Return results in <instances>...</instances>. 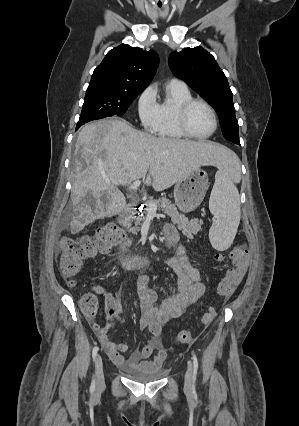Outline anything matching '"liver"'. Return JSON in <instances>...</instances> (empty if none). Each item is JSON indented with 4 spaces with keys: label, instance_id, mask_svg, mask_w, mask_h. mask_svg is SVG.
I'll return each mask as SVG.
<instances>
[{
    "label": "liver",
    "instance_id": "1",
    "mask_svg": "<svg viewBox=\"0 0 299 426\" xmlns=\"http://www.w3.org/2000/svg\"><path fill=\"white\" fill-rule=\"evenodd\" d=\"M74 155L70 195L73 234L124 210L126 200L118 185L143 179L145 185L163 191L201 166L223 168L236 160L221 144L155 137L122 119L85 125L78 134Z\"/></svg>",
    "mask_w": 299,
    "mask_h": 426
}]
</instances>
